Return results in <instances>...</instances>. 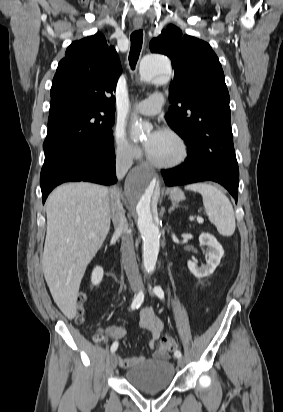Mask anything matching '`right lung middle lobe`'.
Returning a JSON list of instances; mask_svg holds the SVG:
<instances>
[{"instance_id":"obj_1","label":"right lung middle lobe","mask_w":283,"mask_h":412,"mask_svg":"<svg viewBox=\"0 0 283 412\" xmlns=\"http://www.w3.org/2000/svg\"><path fill=\"white\" fill-rule=\"evenodd\" d=\"M114 114L97 108H68L64 113L49 115L44 153L61 148L113 149Z\"/></svg>"}]
</instances>
